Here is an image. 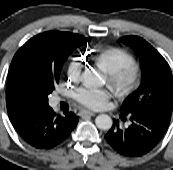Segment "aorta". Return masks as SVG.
Wrapping results in <instances>:
<instances>
[{"mask_svg":"<svg viewBox=\"0 0 173 170\" xmlns=\"http://www.w3.org/2000/svg\"><path fill=\"white\" fill-rule=\"evenodd\" d=\"M83 81L91 86H100L103 84L104 80L100 74H98L95 70L86 69L82 73ZM95 123L98 128L107 130L112 126V119L105 114L99 115L95 119Z\"/></svg>","mask_w":173,"mask_h":170,"instance_id":"762f6f07","label":"aorta"}]
</instances>
